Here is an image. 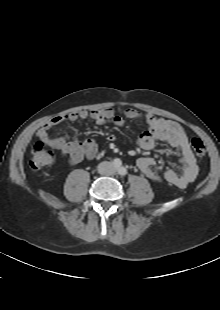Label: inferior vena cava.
<instances>
[{"label":"inferior vena cava","mask_w":220,"mask_h":310,"mask_svg":"<svg viewBox=\"0 0 220 310\" xmlns=\"http://www.w3.org/2000/svg\"><path fill=\"white\" fill-rule=\"evenodd\" d=\"M97 169L102 175H110L113 171V165L110 162L103 161L98 165Z\"/></svg>","instance_id":"obj_1"}]
</instances>
